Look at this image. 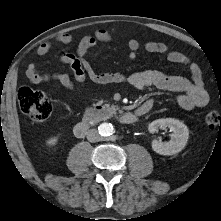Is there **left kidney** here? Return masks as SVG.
<instances>
[{
	"mask_svg": "<svg viewBox=\"0 0 221 221\" xmlns=\"http://www.w3.org/2000/svg\"><path fill=\"white\" fill-rule=\"evenodd\" d=\"M168 127L171 131V139L168 142L153 140L152 149L160 155H174L182 151L188 141L189 131L187 126L173 118L157 119L149 124V132L154 133L159 128Z\"/></svg>",
	"mask_w": 221,
	"mask_h": 221,
	"instance_id": "left-kidney-1",
	"label": "left kidney"
}]
</instances>
